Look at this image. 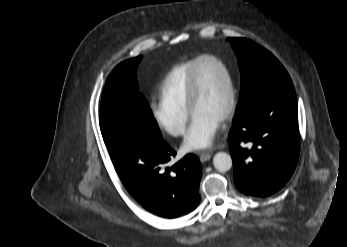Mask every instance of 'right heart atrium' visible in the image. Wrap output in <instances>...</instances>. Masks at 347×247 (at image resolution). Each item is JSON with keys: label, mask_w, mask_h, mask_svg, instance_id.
<instances>
[{"label": "right heart atrium", "mask_w": 347, "mask_h": 247, "mask_svg": "<svg viewBox=\"0 0 347 247\" xmlns=\"http://www.w3.org/2000/svg\"><path fill=\"white\" fill-rule=\"evenodd\" d=\"M152 116L160 129L173 137L182 136L189 120L188 109L160 99L151 103Z\"/></svg>", "instance_id": "right-heart-atrium-1"}]
</instances>
